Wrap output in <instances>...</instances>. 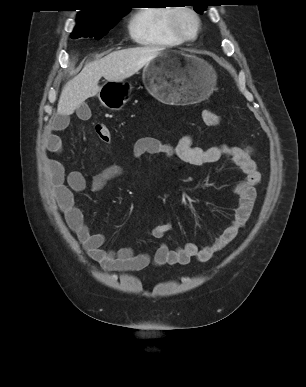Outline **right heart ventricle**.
<instances>
[{
    "label": "right heart ventricle",
    "instance_id": "obj_1",
    "mask_svg": "<svg viewBox=\"0 0 306 387\" xmlns=\"http://www.w3.org/2000/svg\"><path fill=\"white\" fill-rule=\"evenodd\" d=\"M174 7L150 6L137 10L128 22L130 38L138 45L151 48H172L184 43L170 27Z\"/></svg>",
    "mask_w": 306,
    "mask_h": 387
}]
</instances>
